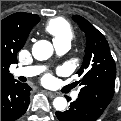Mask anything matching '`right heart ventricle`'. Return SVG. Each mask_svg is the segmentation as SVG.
I'll return each mask as SVG.
<instances>
[{
  "label": "right heart ventricle",
  "mask_w": 121,
  "mask_h": 121,
  "mask_svg": "<svg viewBox=\"0 0 121 121\" xmlns=\"http://www.w3.org/2000/svg\"><path fill=\"white\" fill-rule=\"evenodd\" d=\"M45 31L53 37L55 45L71 42L73 38L71 25L62 18L50 20L45 26Z\"/></svg>",
  "instance_id": "right-heart-ventricle-1"
}]
</instances>
